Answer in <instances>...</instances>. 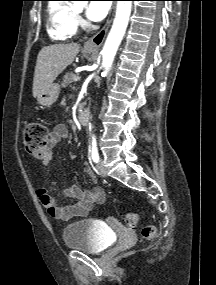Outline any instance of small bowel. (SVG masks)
Segmentation results:
<instances>
[{
	"mask_svg": "<svg viewBox=\"0 0 216 285\" xmlns=\"http://www.w3.org/2000/svg\"><path fill=\"white\" fill-rule=\"evenodd\" d=\"M68 136L69 130L65 125L59 124L54 127L47 141V152L43 158L45 165L51 160V149L61 140L68 138ZM83 169L91 183L95 184L96 177L90 166L84 164ZM37 196L52 218L63 221L76 217H84L92 210L94 204L104 201V192L98 186L83 190L76 185H71L65 191V196L75 200V202L66 206H60L56 199L49 194L47 189H39Z\"/></svg>",
	"mask_w": 216,
	"mask_h": 285,
	"instance_id": "obj_1",
	"label": "small bowel"
}]
</instances>
